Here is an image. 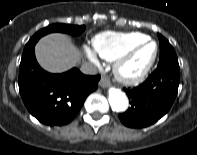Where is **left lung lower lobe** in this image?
<instances>
[{"mask_svg":"<svg viewBox=\"0 0 197 155\" xmlns=\"http://www.w3.org/2000/svg\"><path fill=\"white\" fill-rule=\"evenodd\" d=\"M180 68L164 64L141 85L124 88L131 107L119 114L122 123L131 128H142L154 124L171 108L178 92Z\"/></svg>","mask_w":197,"mask_h":155,"instance_id":"0a47b994","label":"left lung lower lobe"}]
</instances>
